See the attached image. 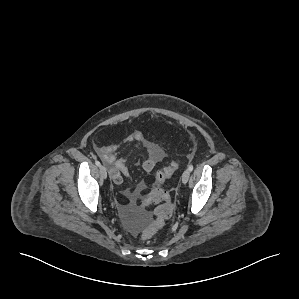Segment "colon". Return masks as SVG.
Returning <instances> with one entry per match:
<instances>
[{
    "label": "colon",
    "mask_w": 299,
    "mask_h": 299,
    "mask_svg": "<svg viewBox=\"0 0 299 299\" xmlns=\"http://www.w3.org/2000/svg\"><path fill=\"white\" fill-rule=\"evenodd\" d=\"M180 164V161H174L169 166L155 174V187L144 198L143 206H148L152 203H157L159 206L154 211V221L142 231L141 236L143 238H150L164 225L165 221L171 217L173 204L170 195L166 190L159 187V185L169 179L179 169Z\"/></svg>",
    "instance_id": "obj_1"
}]
</instances>
